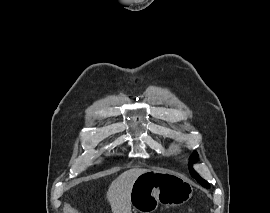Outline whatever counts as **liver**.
I'll return each mask as SVG.
<instances>
[{
	"label": "liver",
	"instance_id": "obj_1",
	"mask_svg": "<svg viewBox=\"0 0 270 213\" xmlns=\"http://www.w3.org/2000/svg\"><path fill=\"white\" fill-rule=\"evenodd\" d=\"M147 171V169L133 168L112 181L106 194L112 213H131L130 195L133 183L138 176Z\"/></svg>",
	"mask_w": 270,
	"mask_h": 213
}]
</instances>
